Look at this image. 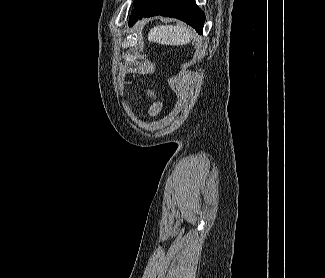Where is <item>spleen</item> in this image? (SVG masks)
Wrapping results in <instances>:
<instances>
[{
    "label": "spleen",
    "instance_id": "spleen-1",
    "mask_svg": "<svg viewBox=\"0 0 325 278\" xmlns=\"http://www.w3.org/2000/svg\"><path fill=\"white\" fill-rule=\"evenodd\" d=\"M192 37L191 29L184 25H159L148 33L149 42L172 46L188 44Z\"/></svg>",
    "mask_w": 325,
    "mask_h": 278
}]
</instances>
